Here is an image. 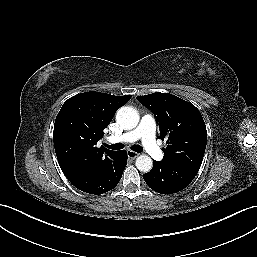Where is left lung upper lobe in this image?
Listing matches in <instances>:
<instances>
[{
    "label": "left lung upper lobe",
    "mask_w": 257,
    "mask_h": 257,
    "mask_svg": "<svg viewBox=\"0 0 257 257\" xmlns=\"http://www.w3.org/2000/svg\"><path fill=\"white\" fill-rule=\"evenodd\" d=\"M137 99L155 115L160 138L167 139L163 161L199 171L207 143L206 126L199 110L169 93H152Z\"/></svg>",
    "instance_id": "1"
}]
</instances>
